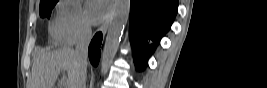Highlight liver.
<instances>
[{
    "label": "liver",
    "instance_id": "1",
    "mask_svg": "<svg viewBox=\"0 0 267 88\" xmlns=\"http://www.w3.org/2000/svg\"><path fill=\"white\" fill-rule=\"evenodd\" d=\"M60 71L67 72V88H75L79 62L73 49L62 48L37 57L32 66L30 88H53Z\"/></svg>",
    "mask_w": 267,
    "mask_h": 88
}]
</instances>
